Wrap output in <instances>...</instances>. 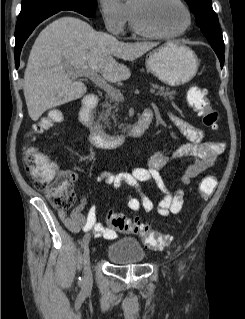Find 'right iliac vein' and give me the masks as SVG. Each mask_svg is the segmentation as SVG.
<instances>
[{
  "instance_id": "1",
  "label": "right iliac vein",
  "mask_w": 245,
  "mask_h": 319,
  "mask_svg": "<svg viewBox=\"0 0 245 319\" xmlns=\"http://www.w3.org/2000/svg\"><path fill=\"white\" fill-rule=\"evenodd\" d=\"M90 234H86L83 237L82 245L84 246L83 253V268H84V280L86 284H89L92 280L91 268H90V253H89V244Z\"/></svg>"
}]
</instances>
